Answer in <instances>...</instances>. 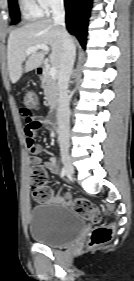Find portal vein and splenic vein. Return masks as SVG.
<instances>
[{"label":"portal vein and splenic vein","instance_id":"1","mask_svg":"<svg viewBox=\"0 0 134 281\" xmlns=\"http://www.w3.org/2000/svg\"><path fill=\"white\" fill-rule=\"evenodd\" d=\"M43 50L45 52H49V47L47 45H44V44H39V45H35V46H32V47H29L26 49V54H30L32 53L33 51L35 50ZM48 74L51 76V77H54L56 74H57V68L55 66H51L49 68V72Z\"/></svg>","mask_w":134,"mask_h":281}]
</instances>
